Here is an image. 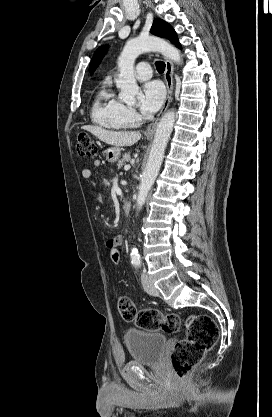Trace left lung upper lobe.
<instances>
[{
  "mask_svg": "<svg viewBox=\"0 0 272 417\" xmlns=\"http://www.w3.org/2000/svg\"><path fill=\"white\" fill-rule=\"evenodd\" d=\"M150 33L153 35L164 37L171 42H173L178 48L181 47L177 34L174 31V29L165 21L161 19H155L153 22V25L151 27ZM107 52V46H101L98 48V50L94 53L93 58L90 63V73L92 74L93 71L97 68L99 63L101 62L103 56Z\"/></svg>",
  "mask_w": 272,
  "mask_h": 417,
  "instance_id": "obj_1",
  "label": "left lung upper lobe"
}]
</instances>
